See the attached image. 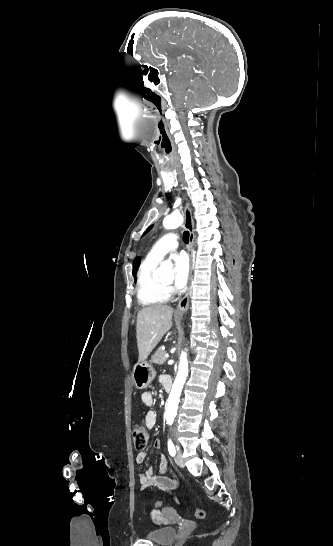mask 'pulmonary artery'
<instances>
[{
  "instance_id": "1",
  "label": "pulmonary artery",
  "mask_w": 333,
  "mask_h": 546,
  "mask_svg": "<svg viewBox=\"0 0 333 546\" xmlns=\"http://www.w3.org/2000/svg\"><path fill=\"white\" fill-rule=\"evenodd\" d=\"M178 247V238L174 233L165 234L150 250L147 257L160 261L168 252Z\"/></svg>"
}]
</instances>
